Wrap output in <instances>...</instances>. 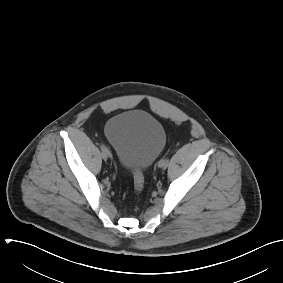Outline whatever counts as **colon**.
Returning a JSON list of instances; mask_svg holds the SVG:
<instances>
[{
	"label": "colon",
	"mask_w": 283,
	"mask_h": 283,
	"mask_svg": "<svg viewBox=\"0 0 283 283\" xmlns=\"http://www.w3.org/2000/svg\"><path fill=\"white\" fill-rule=\"evenodd\" d=\"M134 188L136 193H140L144 187V176L141 170H134Z\"/></svg>",
	"instance_id": "colon-1"
}]
</instances>
